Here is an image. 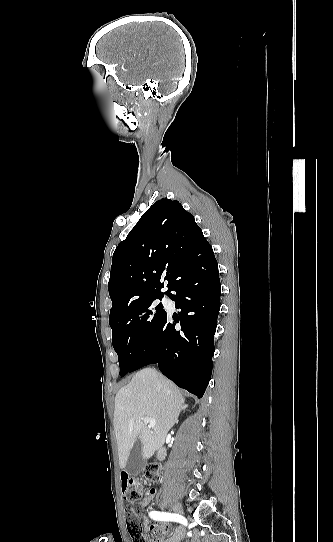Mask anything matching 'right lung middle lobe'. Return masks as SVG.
<instances>
[{
    "label": "right lung middle lobe",
    "mask_w": 333,
    "mask_h": 542,
    "mask_svg": "<svg viewBox=\"0 0 333 542\" xmlns=\"http://www.w3.org/2000/svg\"><path fill=\"white\" fill-rule=\"evenodd\" d=\"M166 316L162 304L156 305L152 301L109 320L121 377L132 371L138 358L152 345L154 336Z\"/></svg>",
    "instance_id": "right-lung-middle-lobe-1"
}]
</instances>
